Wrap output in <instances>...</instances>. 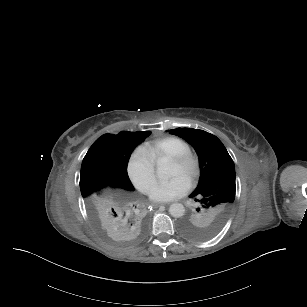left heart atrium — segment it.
<instances>
[{
	"mask_svg": "<svg viewBox=\"0 0 307 307\" xmlns=\"http://www.w3.org/2000/svg\"><path fill=\"white\" fill-rule=\"evenodd\" d=\"M188 189V181L184 177L176 175L166 181L152 182L147 189V194L151 200L163 203L180 198Z\"/></svg>",
	"mask_w": 307,
	"mask_h": 307,
	"instance_id": "39dd6f15",
	"label": "left heart atrium"
}]
</instances>
